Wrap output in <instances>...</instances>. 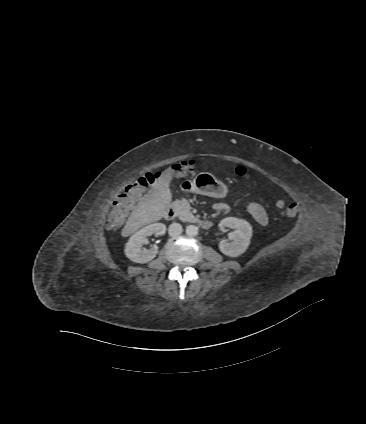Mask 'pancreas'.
Here are the masks:
<instances>
[{
  "instance_id": "obj_1",
  "label": "pancreas",
  "mask_w": 366,
  "mask_h": 424,
  "mask_svg": "<svg viewBox=\"0 0 366 424\" xmlns=\"http://www.w3.org/2000/svg\"><path fill=\"white\" fill-rule=\"evenodd\" d=\"M176 209L178 211L180 220L188 222L195 220V217L191 212V206L187 199L177 200Z\"/></svg>"
}]
</instances>
